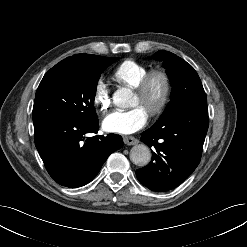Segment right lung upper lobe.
<instances>
[{"label":"right lung upper lobe","instance_id":"cb5924a9","mask_svg":"<svg viewBox=\"0 0 247 247\" xmlns=\"http://www.w3.org/2000/svg\"><path fill=\"white\" fill-rule=\"evenodd\" d=\"M98 58L96 55L91 54H76L71 57H68L61 62H59L57 65H66V64H87L92 62Z\"/></svg>","mask_w":247,"mask_h":247}]
</instances>
